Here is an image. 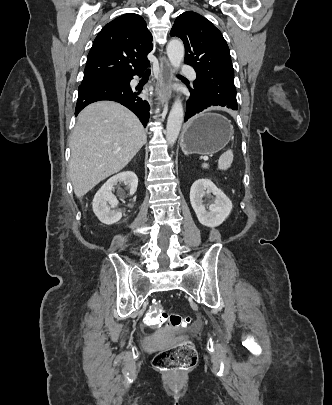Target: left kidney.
<instances>
[{
	"label": "left kidney",
	"mask_w": 332,
	"mask_h": 405,
	"mask_svg": "<svg viewBox=\"0 0 332 405\" xmlns=\"http://www.w3.org/2000/svg\"><path fill=\"white\" fill-rule=\"evenodd\" d=\"M211 193L215 195L216 198L212 204L206 207L203 204L202 198L205 194ZM190 202L198 221L207 227H217L221 225L232 210V202L230 199L222 190L217 188L211 180L206 178L198 179L192 184Z\"/></svg>",
	"instance_id": "1"
}]
</instances>
